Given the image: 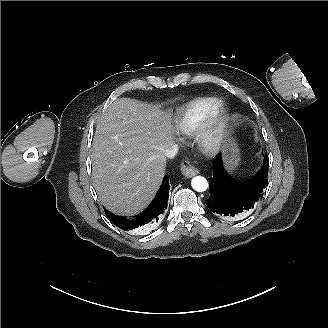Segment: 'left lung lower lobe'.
Returning <instances> with one entry per match:
<instances>
[{"label": "left lung lower lobe", "mask_w": 328, "mask_h": 328, "mask_svg": "<svg viewBox=\"0 0 328 328\" xmlns=\"http://www.w3.org/2000/svg\"><path fill=\"white\" fill-rule=\"evenodd\" d=\"M268 156L264 157L260 171L253 178L239 181L225 170L221 154L214 158L213 176L209 179L208 208L223 218L244 216L263 195L268 180Z\"/></svg>", "instance_id": "obj_1"}]
</instances>
